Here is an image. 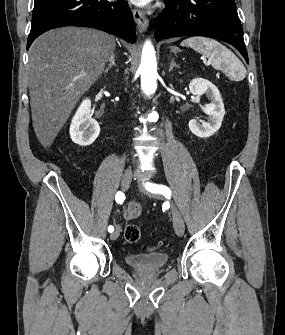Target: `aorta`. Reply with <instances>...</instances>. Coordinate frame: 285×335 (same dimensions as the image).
Instances as JSON below:
<instances>
[{
	"mask_svg": "<svg viewBox=\"0 0 285 335\" xmlns=\"http://www.w3.org/2000/svg\"><path fill=\"white\" fill-rule=\"evenodd\" d=\"M156 52L149 40L145 42L142 50L141 64L138 68L141 76V97H149L151 102L156 100L155 92L157 90V62ZM151 137H164V130H151Z\"/></svg>",
	"mask_w": 285,
	"mask_h": 335,
	"instance_id": "aorta-1",
	"label": "aorta"
}]
</instances>
